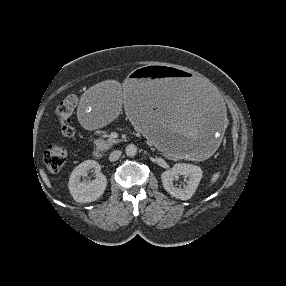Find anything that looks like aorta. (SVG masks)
I'll list each match as a JSON object with an SVG mask.
<instances>
[{"label":"aorta","instance_id":"1","mask_svg":"<svg viewBox=\"0 0 286 286\" xmlns=\"http://www.w3.org/2000/svg\"><path fill=\"white\" fill-rule=\"evenodd\" d=\"M125 151L128 156H135L137 153V147L134 144H129L126 146Z\"/></svg>","mask_w":286,"mask_h":286}]
</instances>
